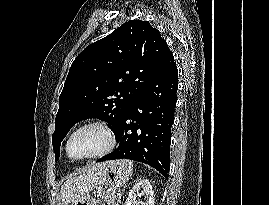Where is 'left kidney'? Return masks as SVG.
<instances>
[{"mask_svg": "<svg viewBox=\"0 0 269 205\" xmlns=\"http://www.w3.org/2000/svg\"><path fill=\"white\" fill-rule=\"evenodd\" d=\"M141 192L144 195V201H135L136 194ZM125 205H154V191L149 180L144 179L135 184L128 193Z\"/></svg>", "mask_w": 269, "mask_h": 205, "instance_id": "obj_1", "label": "left kidney"}]
</instances>
